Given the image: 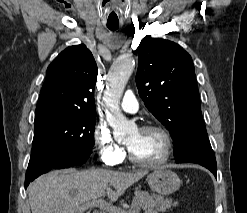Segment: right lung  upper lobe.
Returning <instances> with one entry per match:
<instances>
[{"label":"right lung upper lobe","instance_id":"right-lung-upper-lobe-1","mask_svg":"<svg viewBox=\"0 0 247 213\" xmlns=\"http://www.w3.org/2000/svg\"><path fill=\"white\" fill-rule=\"evenodd\" d=\"M97 65L83 44L61 52L47 69L36 114L46 112L96 113L94 88Z\"/></svg>","mask_w":247,"mask_h":213}]
</instances>
